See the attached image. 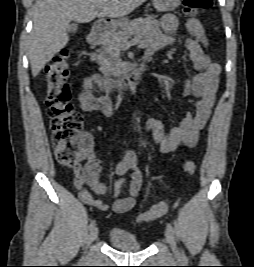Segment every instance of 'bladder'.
I'll return each mask as SVG.
<instances>
[{
    "instance_id": "31cf9c89",
    "label": "bladder",
    "mask_w": 254,
    "mask_h": 267,
    "mask_svg": "<svg viewBox=\"0 0 254 267\" xmlns=\"http://www.w3.org/2000/svg\"><path fill=\"white\" fill-rule=\"evenodd\" d=\"M108 240L111 246L120 251L136 252L143 247L136 236L121 230L110 231Z\"/></svg>"
}]
</instances>
